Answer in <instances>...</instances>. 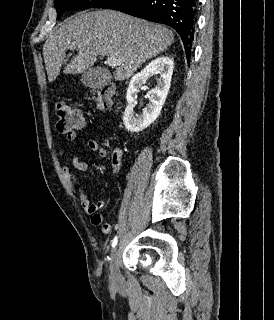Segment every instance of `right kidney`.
Instances as JSON below:
<instances>
[{
    "label": "right kidney",
    "mask_w": 274,
    "mask_h": 320,
    "mask_svg": "<svg viewBox=\"0 0 274 320\" xmlns=\"http://www.w3.org/2000/svg\"><path fill=\"white\" fill-rule=\"evenodd\" d=\"M174 62L169 56H160L156 60H152L148 66L143 68L142 72L135 74L129 82L126 92L127 108L123 116V124L128 132H143L152 122L158 118L167 98L169 88L171 86V78L173 74ZM154 74H160V78L154 90H151L149 98L150 104H147L143 110V114L138 116L134 112L137 104L136 94L139 92L142 84H146V80Z\"/></svg>",
    "instance_id": "ca27d5eb"
}]
</instances>
